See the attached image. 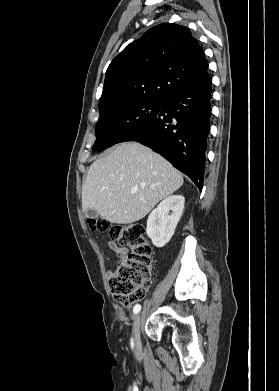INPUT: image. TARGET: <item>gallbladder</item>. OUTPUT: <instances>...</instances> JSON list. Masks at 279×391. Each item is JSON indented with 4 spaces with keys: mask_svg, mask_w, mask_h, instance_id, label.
I'll return each mask as SVG.
<instances>
[{
    "mask_svg": "<svg viewBox=\"0 0 279 391\" xmlns=\"http://www.w3.org/2000/svg\"><path fill=\"white\" fill-rule=\"evenodd\" d=\"M85 216H86V218L93 219V218H96L98 216V213L94 209H88L85 212Z\"/></svg>",
    "mask_w": 279,
    "mask_h": 391,
    "instance_id": "gallbladder-1",
    "label": "gallbladder"
}]
</instances>
